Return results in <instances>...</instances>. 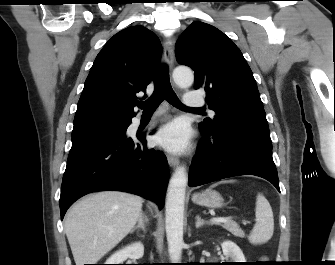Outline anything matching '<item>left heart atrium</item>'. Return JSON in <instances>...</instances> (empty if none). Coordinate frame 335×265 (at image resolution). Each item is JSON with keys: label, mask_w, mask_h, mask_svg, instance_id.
Wrapping results in <instances>:
<instances>
[{"label": "left heart atrium", "mask_w": 335, "mask_h": 265, "mask_svg": "<svg viewBox=\"0 0 335 265\" xmlns=\"http://www.w3.org/2000/svg\"><path fill=\"white\" fill-rule=\"evenodd\" d=\"M155 139L162 147L173 152H180L188 145V129L183 122L173 121L161 128Z\"/></svg>", "instance_id": "left-heart-atrium-1"}]
</instances>
